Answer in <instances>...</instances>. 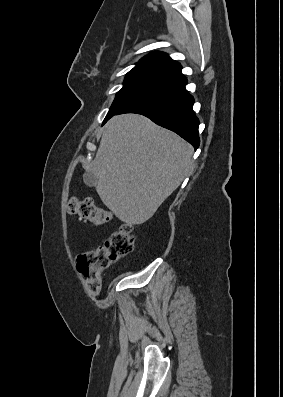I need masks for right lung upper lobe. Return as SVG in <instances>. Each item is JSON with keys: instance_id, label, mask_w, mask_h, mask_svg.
<instances>
[{"instance_id": "1", "label": "right lung upper lobe", "mask_w": 283, "mask_h": 397, "mask_svg": "<svg viewBox=\"0 0 283 397\" xmlns=\"http://www.w3.org/2000/svg\"><path fill=\"white\" fill-rule=\"evenodd\" d=\"M181 65L163 52H152L143 57L136 66L128 72L144 74L151 79L166 81L169 85L184 79Z\"/></svg>"}]
</instances>
